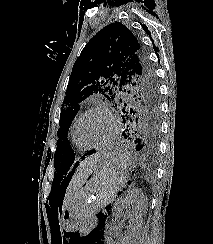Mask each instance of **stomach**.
<instances>
[{
	"instance_id": "obj_1",
	"label": "stomach",
	"mask_w": 213,
	"mask_h": 244,
	"mask_svg": "<svg viewBox=\"0 0 213 244\" xmlns=\"http://www.w3.org/2000/svg\"><path fill=\"white\" fill-rule=\"evenodd\" d=\"M103 153L106 155L61 214V225L67 231L88 227L96 212L110 204L128 181V167L122 155L125 150L104 149Z\"/></svg>"
}]
</instances>
